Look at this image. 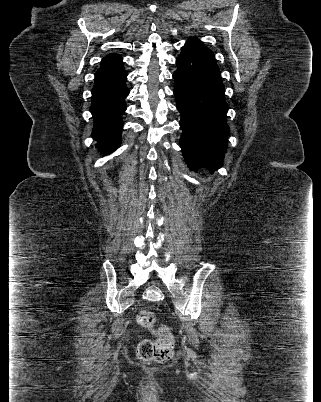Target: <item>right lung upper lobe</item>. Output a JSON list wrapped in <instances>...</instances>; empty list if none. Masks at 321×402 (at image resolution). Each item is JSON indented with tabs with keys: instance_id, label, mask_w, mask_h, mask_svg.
<instances>
[{
	"instance_id": "obj_1",
	"label": "right lung upper lobe",
	"mask_w": 321,
	"mask_h": 402,
	"mask_svg": "<svg viewBox=\"0 0 321 402\" xmlns=\"http://www.w3.org/2000/svg\"><path fill=\"white\" fill-rule=\"evenodd\" d=\"M101 64H122V57L118 54H109L103 58Z\"/></svg>"
}]
</instances>
